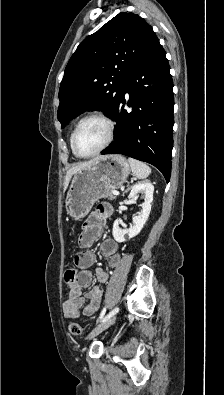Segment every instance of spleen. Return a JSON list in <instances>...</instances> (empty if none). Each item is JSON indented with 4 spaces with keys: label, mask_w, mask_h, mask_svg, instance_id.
I'll list each match as a JSON object with an SVG mask.
<instances>
[{
    "label": "spleen",
    "mask_w": 224,
    "mask_h": 395,
    "mask_svg": "<svg viewBox=\"0 0 224 395\" xmlns=\"http://www.w3.org/2000/svg\"><path fill=\"white\" fill-rule=\"evenodd\" d=\"M128 162L135 177L139 179H145L150 175L151 169L145 163L133 158H128Z\"/></svg>",
    "instance_id": "spleen-1"
}]
</instances>
